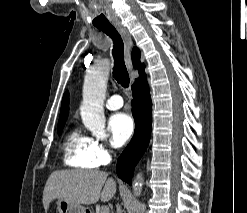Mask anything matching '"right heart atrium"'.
Wrapping results in <instances>:
<instances>
[{
  "label": "right heart atrium",
  "instance_id": "d8ad5b80",
  "mask_svg": "<svg viewBox=\"0 0 247 213\" xmlns=\"http://www.w3.org/2000/svg\"><path fill=\"white\" fill-rule=\"evenodd\" d=\"M89 156L95 167L107 165L112 158L109 146L98 139H91Z\"/></svg>",
  "mask_w": 247,
  "mask_h": 213
}]
</instances>
